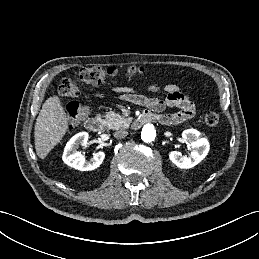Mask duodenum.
<instances>
[{
  "instance_id": "duodenum-1",
  "label": "duodenum",
  "mask_w": 259,
  "mask_h": 259,
  "mask_svg": "<svg viewBox=\"0 0 259 259\" xmlns=\"http://www.w3.org/2000/svg\"><path fill=\"white\" fill-rule=\"evenodd\" d=\"M153 120V116L150 113H143L138 118L135 119L133 123V128L139 129L145 123ZM86 129L93 133H100L104 130V123L103 120L99 117H91L86 120L85 122Z\"/></svg>"
}]
</instances>
